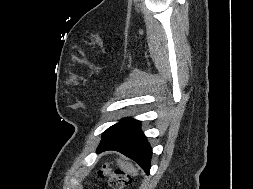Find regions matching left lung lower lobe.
<instances>
[{"label": "left lung lower lobe", "instance_id": "obj_1", "mask_svg": "<svg viewBox=\"0 0 253 189\" xmlns=\"http://www.w3.org/2000/svg\"><path fill=\"white\" fill-rule=\"evenodd\" d=\"M107 150L121 152L136 161L149 174L152 152L148 141L140 130L139 121L132 119L114 130L103 134L97 152L101 153Z\"/></svg>", "mask_w": 253, "mask_h": 189}]
</instances>
